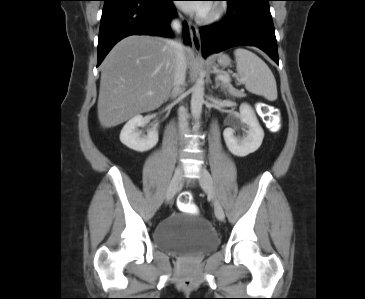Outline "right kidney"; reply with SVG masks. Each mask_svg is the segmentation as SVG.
Segmentation results:
<instances>
[{
  "instance_id": "ca27d5eb",
  "label": "right kidney",
  "mask_w": 365,
  "mask_h": 299,
  "mask_svg": "<svg viewBox=\"0 0 365 299\" xmlns=\"http://www.w3.org/2000/svg\"><path fill=\"white\" fill-rule=\"evenodd\" d=\"M149 120L150 117H142L141 115L130 119L120 133V141L128 148L138 152L152 149L158 142V131L156 128H153L145 136H142L138 130V127L144 126Z\"/></svg>"
}]
</instances>
